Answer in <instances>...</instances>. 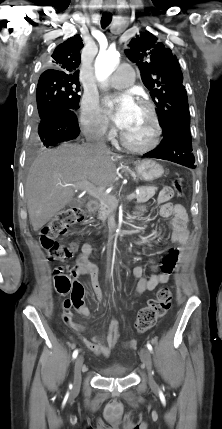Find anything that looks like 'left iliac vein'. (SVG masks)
<instances>
[{"label": "left iliac vein", "mask_w": 222, "mask_h": 429, "mask_svg": "<svg viewBox=\"0 0 222 429\" xmlns=\"http://www.w3.org/2000/svg\"><path fill=\"white\" fill-rule=\"evenodd\" d=\"M140 358L145 364L146 370L148 372L149 383L153 385L155 382L152 376V358L150 351L147 348H142L140 351Z\"/></svg>", "instance_id": "left-iliac-vein-1"}]
</instances>
